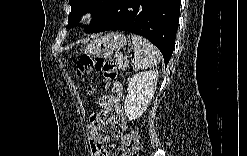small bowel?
I'll return each mask as SVG.
<instances>
[{
  "label": "small bowel",
  "instance_id": "small-bowel-1",
  "mask_svg": "<svg viewBox=\"0 0 247 156\" xmlns=\"http://www.w3.org/2000/svg\"><path fill=\"white\" fill-rule=\"evenodd\" d=\"M112 94L98 100L99 112L92 114L87 125V134L93 155H111L105 147L109 141L108 136L102 134L105 125L116 126L120 134L117 140V155H127L131 145V135L128 132V122L124 117L120 101L123 96V88L119 83L108 84Z\"/></svg>",
  "mask_w": 247,
  "mask_h": 156
}]
</instances>
